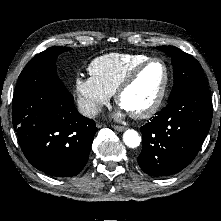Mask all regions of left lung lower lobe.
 Returning <instances> with one entry per match:
<instances>
[{
  "label": "left lung lower lobe",
  "instance_id": "left-lung-lower-lobe-1",
  "mask_svg": "<svg viewBox=\"0 0 221 221\" xmlns=\"http://www.w3.org/2000/svg\"><path fill=\"white\" fill-rule=\"evenodd\" d=\"M212 102L207 86L186 90L150 122L140 128L141 169L151 176H168L185 168L195 158L211 125Z\"/></svg>",
  "mask_w": 221,
  "mask_h": 221
}]
</instances>
